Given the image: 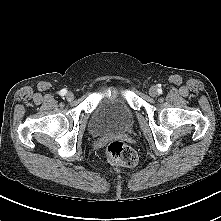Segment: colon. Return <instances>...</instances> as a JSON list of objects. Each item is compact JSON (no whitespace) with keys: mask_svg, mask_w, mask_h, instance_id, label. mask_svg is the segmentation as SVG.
Segmentation results:
<instances>
[{"mask_svg":"<svg viewBox=\"0 0 221 221\" xmlns=\"http://www.w3.org/2000/svg\"><path fill=\"white\" fill-rule=\"evenodd\" d=\"M108 159L119 166L130 168L137 164L136 152L121 141L111 142L106 149Z\"/></svg>","mask_w":221,"mask_h":221,"instance_id":"colon-1","label":"colon"}]
</instances>
